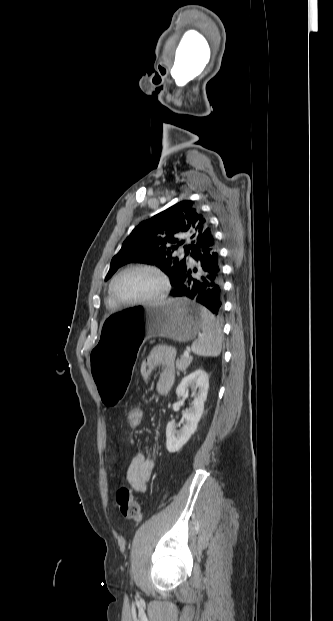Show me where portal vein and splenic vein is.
I'll use <instances>...</instances> for the list:
<instances>
[{"label":"portal vein and splenic vein","instance_id":"obj_1","mask_svg":"<svg viewBox=\"0 0 333 621\" xmlns=\"http://www.w3.org/2000/svg\"><path fill=\"white\" fill-rule=\"evenodd\" d=\"M184 356H185V357H189V356H190L189 351L185 350V351H184Z\"/></svg>","mask_w":333,"mask_h":621}]
</instances>
